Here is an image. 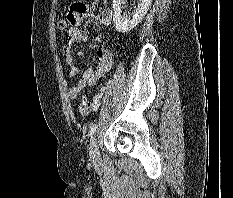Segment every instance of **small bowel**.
Here are the masks:
<instances>
[{"instance_id": "small-bowel-1", "label": "small bowel", "mask_w": 233, "mask_h": 198, "mask_svg": "<svg viewBox=\"0 0 233 198\" xmlns=\"http://www.w3.org/2000/svg\"><path fill=\"white\" fill-rule=\"evenodd\" d=\"M88 17L95 19L101 26H109L112 22L113 12L110 9H104L98 14H92L89 6L81 1L71 4L67 13V20L70 27L67 29V41L63 45L62 55L69 68V75L75 77L79 74L80 68L76 63L74 52L78 44L88 38V32L81 30V25ZM81 52H78L80 55ZM97 65L95 68L84 71L81 80L68 88L67 94L70 99H75L87 86L95 85L111 68L113 64V54L108 49H98L95 52Z\"/></svg>"}]
</instances>
